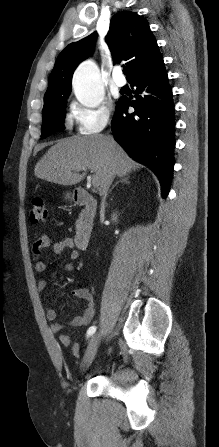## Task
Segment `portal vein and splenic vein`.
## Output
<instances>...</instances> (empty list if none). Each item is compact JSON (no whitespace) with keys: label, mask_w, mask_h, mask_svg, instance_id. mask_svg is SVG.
I'll list each match as a JSON object with an SVG mask.
<instances>
[{"label":"portal vein and splenic vein","mask_w":219,"mask_h":447,"mask_svg":"<svg viewBox=\"0 0 219 447\" xmlns=\"http://www.w3.org/2000/svg\"><path fill=\"white\" fill-rule=\"evenodd\" d=\"M92 185H93V187H98V182L94 178H92Z\"/></svg>","instance_id":"1"}]
</instances>
